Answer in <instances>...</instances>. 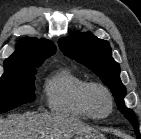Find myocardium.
Returning <instances> with one entry per match:
<instances>
[{
	"instance_id": "f54148a6",
	"label": "myocardium",
	"mask_w": 141,
	"mask_h": 139,
	"mask_svg": "<svg viewBox=\"0 0 141 139\" xmlns=\"http://www.w3.org/2000/svg\"><path fill=\"white\" fill-rule=\"evenodd\" d=\"M94 91H100L107 97L108 110L104 114L97 113L93 107L92 94ZM82 101L88 113L95 119L107 118L112 113L114 108V99L111 91L107 86L99 82H87L82 90Z\"/></svg>"
}]
</instances>
